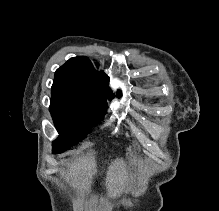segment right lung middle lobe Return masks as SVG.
Returning <instances> with one entry per match:
<instances>
[{
	"instance_id": "obj_1",
	"label": "right lung middle lobe",
	"mask_w": 219,
	"mask_h": 211,
	"mask_svg": "<svg viewBox=\"0 0 219 211\" xmlns=\"http://www.w3.org/2000/svg\"><path fill=\"white\" fill-rule=\"evenodd\" d=\"M106 105H92L65 100H51L50 112L59 138L53 142V153H62L77 144L106 113Z\"/></svg>"
}]
</instances>
